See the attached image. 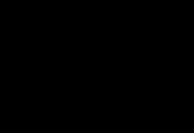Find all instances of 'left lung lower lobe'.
<instances>
[{"mask_svg":"<svg viewBox=\"0 0 194 133\" xmlns=\"http://www.w3.org/2000/svg\"><path fill=\"white\" fill-rule=\"evenodd\" d=\"M98 95L113 107L130 109L144 105L164 87L172 69L167 28L155 23L137 30L123 49L97 53Z\"/></svg>","mask_w":194,"mask_h":133,"instance_id":"1","label":"left lung lower lobe"}]
</instances>
